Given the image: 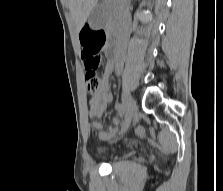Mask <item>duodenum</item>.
<instances>
[{
	"instance_id": "obj_1",
	"label": "duodenum",
	"mask_w": 223,
	"mask_h": 191,
	"mask_svg": "<svg viewBox=\"0 0 223 191\" xmlns=\"http://www.w3.org/2000/svg\"><path fill=\"white\" fill-rule=\"evenodd\" d=\"M113 36L116 37V39H118L120 34L116 30H114ZM117 52H118L117 47L112 42H110V45L108 47V55H109V61L111 63H114V59L117 56Z\"/></svg>"
}]
</instances>
